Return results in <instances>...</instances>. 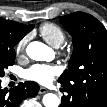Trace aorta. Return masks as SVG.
<instances>
[{
  "instance_id": "762f6f07",
  "label": "aorta",
  "mask_w": 107,
  "mask_h": 107,
  "mask_svg": "<svg viewBox=\"0 0 107 107\" xmlns=\"http://www.w3.org/2000/svg\"><path fill=\"white\" fill-rule=\"evenodd\" d=\"M49 52L50 48L38 41L29 43L26 48L28 57L36 61L46 60ZM43 104L45 107H58L60 104V99L56 94L47 93L43 96Z\"/></svg>"
}]
</instances>
